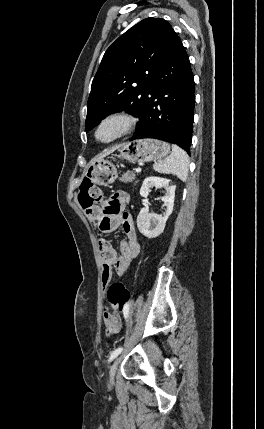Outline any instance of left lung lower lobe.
Masks as SVG:
<instances>
[{
  "label": "left lung lower lobe",
  "instance_id": "left-lung-lower-lobe-1",
  "mask_svg": "<svg viewBox=\"0 0 264 429\" xmlns=\"http://www.w3.org/2000/svg\"><path fill=\"white\" fill-rule=\"evenodd\" d=\"M194 92L189 57L172 30L150 83L136 133L130 140L155 138L177 144L190 153Z\"/></svg>",
  "mask_w": 264,
  "mask_h": 429
}]
</instances>
